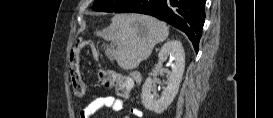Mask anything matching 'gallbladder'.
Wrapping results in <instances>:
<instances>
[{
    "label": "gallbladder",
    "mask_w": 273,
    "mask_h": 118,
    "mask_svg": "<svg viewBox=\"0 0 273 118\" xmlns=\"http://www.w3.org/2000/svg\"><path fill=\"white\" fill-rule=\"evenodd\" d=\"M106 53H107L109 56H112V55H113V50H112L111 48H107Z\"/></svg>",
    "instance_id": "obj_1"
}]
</instances>
